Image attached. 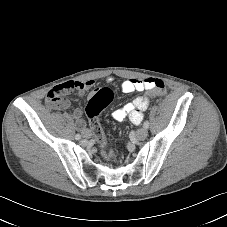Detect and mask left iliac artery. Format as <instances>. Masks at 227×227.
Instances as JSON below:
<instances>
[{"label":"left iliac artery","instance_id":"obj_1","mask_svg":"<svg viewBox=\"0 0 227 227\" xmlns=\"http://www.w3.org/2000/svg\"><path fill=\"white\" fill-rule=\"evenodd\" d=\"M143 127L148 128L149 127V122L145 121L144 124H143Z\"/></svg>","mask_w":227,"mask_h":227}]
</instances>
